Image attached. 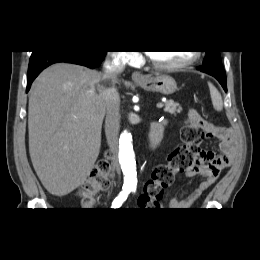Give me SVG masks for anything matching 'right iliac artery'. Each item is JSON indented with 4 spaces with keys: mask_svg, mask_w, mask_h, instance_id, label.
I'll return each instance as SVG.
<instances>
[{
    "mask_svg": "<svg viewBox=\"0 0 260 260\" xmlns=\"http://www.w3.org/2000/svg\"><path fill=\"white\" fill-rule=\"evenodd\" d=\"M130 191H131L130 187H127V186L123 187L120 194L114 199V201L112 203V207L119 208L123 204V202L127 199Z\"/></svg>",
    "mask_w": 260,
    "mask_h": 260,
    "instance_id": "right-iliac-artery-1",
    "label": "right iliac artery"
}]
</instances>
